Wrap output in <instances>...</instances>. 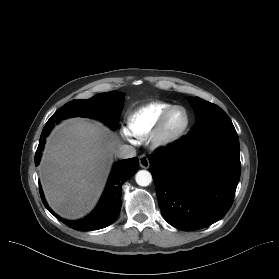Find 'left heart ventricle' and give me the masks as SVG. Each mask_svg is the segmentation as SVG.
<instances>
[{"mask_svg":"<svg viewBox=\"0 0 279 279\" xmlns=\"http://www.w3.org/2000/svg\"><path fill=\"white\" fill-rule=\"evenodd\" d=\"M185 122V115L182 110L173 111L166 121L165 132L167 135L177 133Z\"/></svg>","mask_w":279,"mask_h":279,"instance_id":"left-heart-ventricle-1","label":"left heart ventricle"}]
</instances>
